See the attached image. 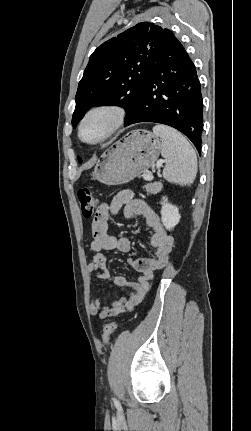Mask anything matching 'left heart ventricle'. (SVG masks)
<instances>
[{"instance_id":"1","label":"left heart ventricle","mask_w":251,"mask_h":431,"mask_svg":"<svg viewBox=\"0 0 251 431\" xmlns=\"http://www.w3.org/2000/svg\"><path fill=\"white\" fill-rule=\"evenodd\" d=\"M110 116L107 113H98L91 116L84 124L82 135L88 141L100 138L107 130L110 123Z\"/></svg>"}]
</instances>
